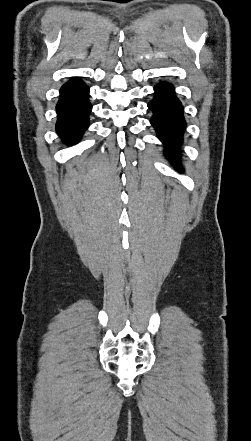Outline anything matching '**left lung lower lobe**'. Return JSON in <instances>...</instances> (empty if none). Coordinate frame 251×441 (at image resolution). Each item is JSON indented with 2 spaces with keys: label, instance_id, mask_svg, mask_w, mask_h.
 Listing matches in <instances>:
<instances>
[{
  "label": "left lung lower lobe",
  "instance_id": "1",
  "mask_svg": "<svg viewBox=\"0 0 251 441\" xmlns=\"http://www.w3.org/2000/svg\"><path fill=\"white\" fill-rule=\"evenodd\" d=\"M154 89L155 97L148 104V107L153 111V117L150 121L158 138L165 145L166 156L177 168H180L178 153L186 128L183 106L176 97L174 87L171 84L162 82Z\"/></svg>",
  "mask_w": 251,
  "mask_h": 441
}]
</instances>
